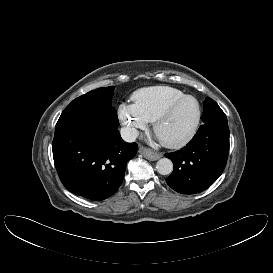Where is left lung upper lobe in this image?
Masks as SVG:
<instances>
[{
  "label": "left lung upper lobe",
  "instance_id": "left-lung-upper-lobe-1",
  "mask_svg": "<svg viewBox=\"0 0 273 273\" xmlns=\"http://www.w3.org/2000/svg\"><path fill=\"white\" fill-rule=\"evenodd\" d=\"M204 125L210 126L218 123H227V118L218 104L207 97L204 102V111L201 117Z\"/></svg>",
  "mask_w": 273,
  "mask_h": 273
}]
</instances>
